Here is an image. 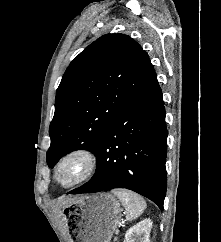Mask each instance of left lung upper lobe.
Returning <instances> with one entry per match:
<instances>
[{
	"label": "left lung upper lobe",
	"mask_w": 221,
	"mask_h": 242,
	"mask_svg": "<svg viewBox=\"0 0 221 242\" xmlns=\"http://www.w3.org/2000/svg\"><path fill=\"white\" fill-rule=\"evenodd\" d=\"M155 79L148 54L127 35L106 34L86 47L57 89L48 166L78 149L95 155L111 123Z\"/></svg>",
	"instance_id": "obj_1"
}]
</instances>
